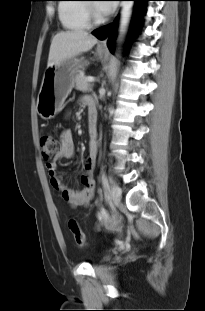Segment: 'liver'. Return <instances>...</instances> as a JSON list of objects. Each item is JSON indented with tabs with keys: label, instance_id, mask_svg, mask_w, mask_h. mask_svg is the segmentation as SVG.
<instances>
[{
	"label": "liver",
	"instance_id": "1",
	"mask_svg": "<svg viewBox=\"0 0 205 311\" xmlns=\"http://www.w3.org/2000/svg\"><path fill=\"white\" fill-rule=\"evenodd\" d=\"M97 42L96 37L83 30L59 32L52 38L47 66H58L67 59L89 51Z\"/></svg>",
	"mask_w": 205,
	"mask_h": 311
}]
</instances>
